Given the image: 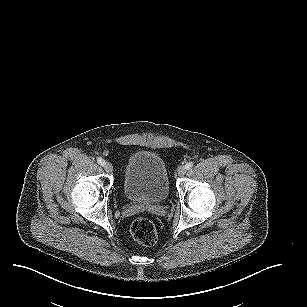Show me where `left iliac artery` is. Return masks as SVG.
Returning a JSON list of instances; mask_svg holds the SVG:
<instances>
[{"mask_svg": "<svg viewBox=\"0 0 307 307\" xmlns=\"http://www.w3.org/2000/svg\"><path fill=\"white\" fill-rule=\"evenodd\" d=\"M186 169L189 170L193 167V163L192 162H188L186 165H185Z\"/></svg>", "mask_w": 307, "mask_h": 307, "instance_id": "left-iliac-artery-1", "label": "left iliac artery"}]
</instances>
